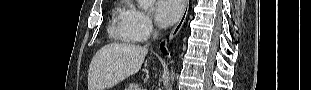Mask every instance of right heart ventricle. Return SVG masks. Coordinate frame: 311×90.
I'll return each mask as SVG.
<instances>
[{"label": "right heart ventricle", "mask_w": 311, "mask_h": 90, "mask_svg": "<svg viewBox=\"0 0 311 90\" xmlns=\"http://www.w3.org/2000/svg\"><path fill=\"white\" fill-rule=\"evenodd\" d=\"M126 14L127 10L123 8H118L115 10L110 23L109 32L113 37L117 38L118 40L131 43L136 41V39L128 30V27L126 25Z\"/></svg>", "instance_id": "obj_1"}]
</instances>
